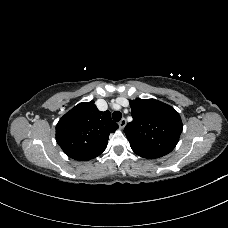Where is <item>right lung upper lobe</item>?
I'll return each instance as SVG.
<instances>
[{"mask_svg": "<svg viewBox=\"0 0 228 228\" xmlns=\"http://www.w3.org/2000/svg\"><path fill=\"white\" fill-rule=\"evenodd\" d=\"M117 128L109 111H99L94 101L80 103L57 123L56 141L70 158L87 161L106 149L109 134Z\"/></svg>", "mask_w": 228, "mask_h": 228, "instance_id": "cb5924a9", "label": "right lung upper lobe"}]
</instances>
